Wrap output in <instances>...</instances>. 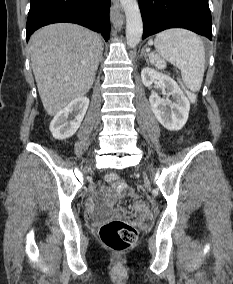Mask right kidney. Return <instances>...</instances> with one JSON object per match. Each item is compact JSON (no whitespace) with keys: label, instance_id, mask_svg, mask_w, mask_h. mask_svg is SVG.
<instances>
[{"label":"right kidney","instance_id":"right-kidney-1","mask_svg":"<svg viewBox=\"0 0 233 284\" xmlns=\"http://www.w3.org/2000/svg\"><path fill=\"white\" fill-rule=\"evenodd\" d=\"M88 106L89 99L79 97L58 112L50 123V131L53 137L58 140L72 137L80 127ZM69 116L71 119H69Z\"/></svg>","mask_w":233,"mask_h":284}]
</instances>
